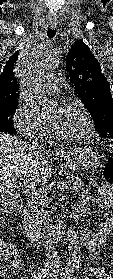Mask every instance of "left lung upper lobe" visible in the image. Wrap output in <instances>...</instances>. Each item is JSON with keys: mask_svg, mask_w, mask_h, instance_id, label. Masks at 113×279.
I'll list each match as a JSON object with an SVG mask.
<instances>
[{"mask_svg": "<svg viewBox=\"0 0 113 279\" xmlns=\"http://www.w3.org/2000/svg\"><path fill=\"white\" fill-rule=\"evenodd\" d=\"M66 59L71 84L92 116L100 137L113 136V99L100 63L81 40L71 46Z\"/></svg>", "mask_w": 113, "mask_h": 279, "instance_id": "left-lung-upper-lobe-1", "label": "left lung upper lobe"}]
</instances>
